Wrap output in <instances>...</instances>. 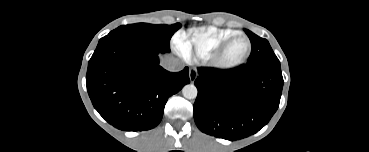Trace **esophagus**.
I'll list each match as a JSON object with an SVG mask.
<instances>
[{
  "mask_svg": "<svg viewBox=\"0 0 369 152\" xmlns=\"http://www.w3.org/2000/svg\"><path fill=\"white\" fill-rule=\"evenodd\" d=\"M198 76V71L196 68H191L189 70V78L191 82H194Z\"/></svg>",
  "mask_w": 369,
  "mask_h": 152,
  "instance_id": "34e87169",
  "label": "esophagus"
}]
</instances>
